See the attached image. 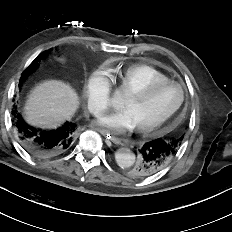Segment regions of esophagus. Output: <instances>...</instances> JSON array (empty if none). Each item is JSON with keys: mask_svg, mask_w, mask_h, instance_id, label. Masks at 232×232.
<instances>
[{"mask_svg": "<svg viewBox=\"0 0 232 232\" xmlns=\"http://www.w3.org/2000/svg\"><path fill=\"white\" fill-rule=\"evenodd\" d=\"M96 131H98L99 133H101L103 136H105L106 140L107 141H111L115 144H119L121 143V140L116 138V137H113L110 135V133L104 129H101V128H95Z\"/></svg>", "mask_w": 232, "mask_h": 232, "instance_id": "34e87169", "label": "esophagus"}]
</instances>
